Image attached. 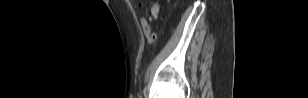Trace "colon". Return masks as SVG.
Wrapping results in <instances>:
<instances>
[{"label":"colon","mask_w":308,"mask_h":98,"mask_svg":"<svg viewBox=\"0 0 308 98\" xmlns=\"http://www.w3.org/2000/svg\"><path fill=\"white\" fill-rule=\"evenodd\" d=\"M157 7L154 8V12H157ZM148 41L154 42L156 40V35L154 33H151L147 36Z\"/></svg>","instance_id":"obj_1"}]
</instances>
